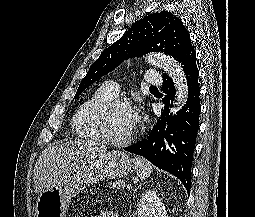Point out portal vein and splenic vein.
<instances>
[{
  "mask_svg": "<svg viewBox=\"0 0 255 217\" xmlns=\"http://www.w3.org/2000/svg\"><path fill=\"white\" fill-rule=\"evenodd\" d=\"M127 189H132V186L131 185H127Z\"/></svg>",
  "mask_w": 255,
  "mask_h": 217,
  "instance_id": "portal-vein-and-splenic-vein-1",
  "label": "portal vein and splenic vein"
}]
</instances>
